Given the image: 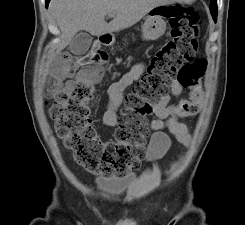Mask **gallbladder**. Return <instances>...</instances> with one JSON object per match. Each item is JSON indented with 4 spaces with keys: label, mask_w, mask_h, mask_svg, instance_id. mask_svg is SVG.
<instances>
[{
    "label": "gallbladder",
    "mask_w": 245,
    "mask_h": 225,
    "mask_svg": "<svg viewBox=\"0 0 245 225\" xmlns=\"http://www.w3.org/2000/svg\"><path fill=\"white\" fill-rule=\"evenodd\" d=\"M92 44V36L86 32L78 33L69 43L68 50L77 56L84 55Z\"/></svg>",
    "instance_id": "1"
}]
</instances>
